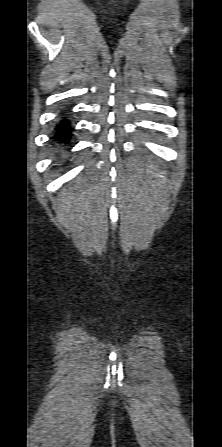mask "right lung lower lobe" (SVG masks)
<instances>
[{
    "mask_svg": "<svg viewBox=\"0 0 222 447\" xmlns=\"http://www.w3.org/2000/svg\"><path fill=\"white\" fill-rule=\"evenodd\" d=\"M73 130L70 114L65 111L58 117L52 139L60 146L67 145L72 137Z\"/></svg>",
    "mask_w": 222,
    "mask_h": 447,
    "instance_id": "obj_1",
    "label": "right lung lower lobe"
}]
</instances>
